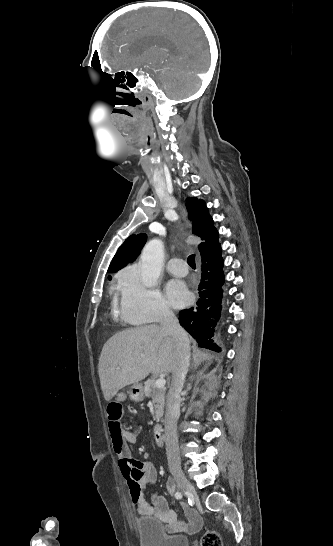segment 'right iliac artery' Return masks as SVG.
Here are the masks:
<instances>
[{
    "instance_id": "right-iliac-artery-1",
    "label": "right iliac artery",
    "mask_w": 333,
    "mask_h": 546,
    "mask_svg": "<svg viewBox=\"0 0 333 546\" xmlns=\"http://www.w3.org/2000/svg\"><path fill=\"white\" fill-rule=\"evenodd\" d=\"M175 497H176L177 499H181V498H182V493H181V492H176V493H175Z\"/></svg>"
}]
</instances>
